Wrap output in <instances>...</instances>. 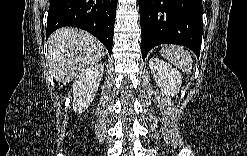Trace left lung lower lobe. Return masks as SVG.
<instances>
[{"label":"left lung lower lobe","mask_w":247,"mask_h":156,"mask_svg":"<svg viewBox=\"0 0 247 156\" xmlns=\"http://www.w3.org/2000/svg\"><path fill=\"white\" fill-rule=\"evenodd\" d=\"M142 58L163 44H179L199 57L202 40L201 0H139Z\"/></svg>","instance_id":"1"}]
</instances>
